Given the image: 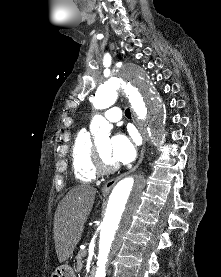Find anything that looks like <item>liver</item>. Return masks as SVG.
I'll use <instances>...</instances> for the list:
<instances>
[{"label": "liver", "instance_id": "obj_1", "mask_svg": "<svg viewBox=\"0 0 221 277\" xmlns=\"http://www.w3.org/2000/svg\"><path fill=\"white\" fill-rule=\"evenodd\" d=\"M97 190L89 185L71 189L59 203L54 216V243L59 262L73 253L92 210Z\"/></svg>", "mask_w": 221, "mask_h": 277}]
</instances>
